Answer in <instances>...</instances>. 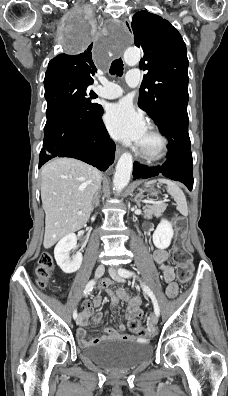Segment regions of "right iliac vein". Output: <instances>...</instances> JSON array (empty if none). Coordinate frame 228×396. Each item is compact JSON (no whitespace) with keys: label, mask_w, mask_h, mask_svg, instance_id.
I'll return each instance as SVG.
<instances>
[{"label":"right iliac vein","mask_w":228,"mask_h":396,"mask_svg":"<svg viewBox=\"0 0 228 396\" xmlns=\"http://www.w3.org/2000/svg\"><path fill=\"white\" fill-rule=\"evenodd\" d=\"M104 272H105V266H104L103 264H100V265L96 268L95 277H96V278L101 277V276L104 274ZM81 320H82L81 315H79V316L76 318V324H77V325H80Z\"/></svg>","instance_id":"right-iliac-vein-1"}]
</instances>
